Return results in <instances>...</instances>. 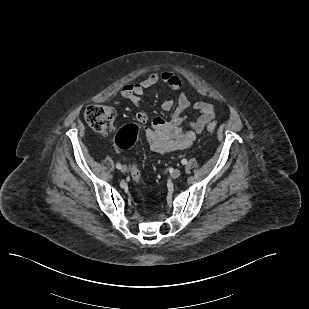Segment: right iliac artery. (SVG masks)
Listing matches in <instances>:
<instances>
[{
  "label": "right iliac artery",
  "instance_id": "1",
  "mask_svg": "<svg viewBox=\"0 0 309 309\" xmlns=\"http://www.w3.org/2000/svg\"><path fill=\"white\" fill-rule=\"evenodd\" d=\"M116 167H117V169H121L122 166H121L120 163H117V164H116Z\"/></svg>",
  "mask_w": 309,
  "mask_h": 309
}]
</instances>
